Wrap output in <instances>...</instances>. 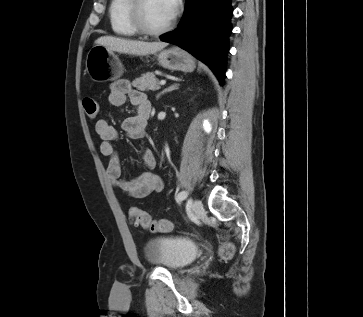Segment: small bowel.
<instances>
[{
  "label": "small bowel",
  "instance_id": "obj_1",
  "mask_svg": "<svg viewBox=\"0 0 363 317\" xmlns=\"http://www.w3.org/2000/svg\"><path fill=\"white\" fill-rule=\"evenodd\" d=\"M127 98L136 107V114L123 121L122 129L131 139H143L147 134L151 104L145 93L133 89L129 81L123 79L115 81L108 95L109 103L113 106H122ZM95 132L101 139L100 152L108 158L107 178L114 187L135 198H144L163 190L162 178L153 171L156 162L150 149H144L141 154L145 171L136 179L127 181L122 178L121 162L114 147V142L118 139L117 129L106 120H98L95 123Z\"/></svg>",
  "mask_w": 363,
  "mask_h": 317
}]
</instances>
